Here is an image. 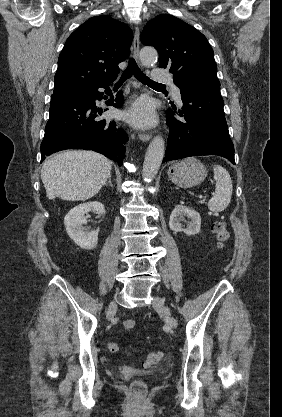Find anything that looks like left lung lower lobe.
<instances>
[{
    "instance_id": "0a47b994",
    "label": "left lung lower lobe",
    "mask_w": 282,
    "mask_h": 417,
    "mask_svg": "<svg viewBox=\"0 0 282 417\" xmlns=\"http://www.w3.org/2000/svg\"><path fill=\"white\" fill-rule=\"evenodd\" d=\"M182 110L167 111L168 146L163 162L198 155H218L233 164L234 145L228 133L220 86L194 82L181 89Z\"/></svg>"
}]
</instances>
